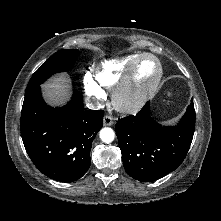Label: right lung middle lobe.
Listing matches in <instances>:
<instances>
[{"label": "right lung middle lobe", "mask_w": 221, "mask_h": 221, "mask_svg": "<svg viewBox=\"0 0 221 221\" xmlns=\"http://www.w3.org/2000/svg\"><path fill=\"white\" fill-rule=\"evenodd\" d=\"M79 51L75 49H62L54 53L33 75L30 79L25 94L32 92L40 87L46 79L57 72L67 71L75 63Z\"/></svg>", "instance_id": "1"}]
</instances>
